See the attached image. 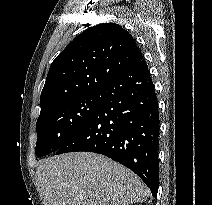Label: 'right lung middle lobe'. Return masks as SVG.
Masks as SVG:
<instances>
[{"label": "right lung middle lobe", "mask_w": 212, "mask_h": 205, "mask_svg": "<svg viewBox=\"0 0 212 205\" xmlns=\"http://www.w3.org/2000/svg\"><path fill=\"white\" fill-rule=\"evenodd\" d=\"M101 102V92L84 94L65 101L44 114L36 124V155L56 152L90 117Z\"/></svg>", "instance_id": "obj_1"}]
</instances>
